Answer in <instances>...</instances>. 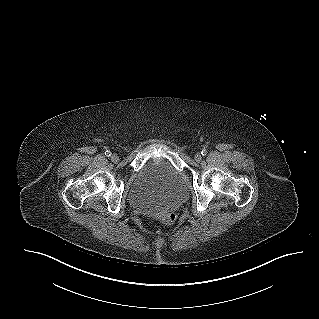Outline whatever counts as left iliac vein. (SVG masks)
Instances as JSON below:
<instances>
[{
    "label": "left iliac vein",
    "mask_w": 319,
    "mask_h": 319,
    "mask_svg": "<svg viewBox=\"0 0 319 319\" xmlns=\"http://www.w3.org/2000/svg\"><path fill=\"white\" fill-rule=\"evenodd\" d=\"M201 159H202V156H201L200 153H196V154L194 155V160H195L196 162H200Z\"/></svg>",
    "instance_id": "obj_1"
}]
</instances>
